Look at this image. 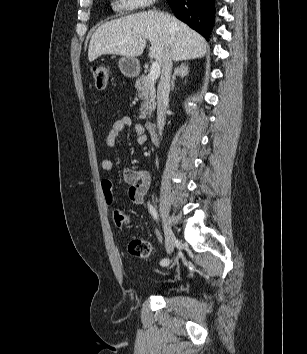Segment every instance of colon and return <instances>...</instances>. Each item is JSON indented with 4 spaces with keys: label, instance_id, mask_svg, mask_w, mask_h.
Segmentation results:
<instances>
[{
    "label": "colon",
    "instance_id": "obj_1",
    "mask_svg": "<svg viewBox=\"0 0 307 354\" xmlns=\"http://www.w3.org/2000/svg\"><path fill=\"white\" fill-rule=\"evenodd\" d=\"M92 74L98 89H104L107 85L110 68L106 64H97L92 67ZM113 219L115 226L119 229H125L129 225L130 215L127 209L117 208L114 210ZM129 252L139 258H149L153 254V246L150 242L141 239L133 238L128 244Z\"/></svg>",
    "mask_w": 307,
    "mask_h": 354
}]
</instances>
